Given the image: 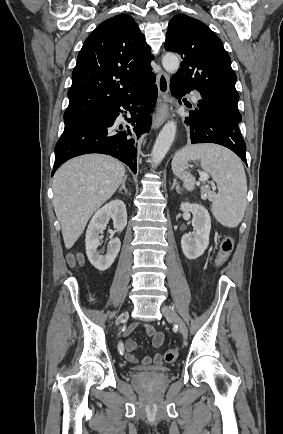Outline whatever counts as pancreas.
Instances as JSON below:
<instances>
[{
    "label": "pancreas",
    "instance_id": "pancreas-1",
    "mask_svg": "<svg viewBox=\"0 0 283 434\" xmlns=\"http://www.w3.org/2000/svg\"><path fill=\"white\" fill-rule=\"evenodd\" d=\"M201 193H202V199H211L213 192L210 190V188L208 187H202L201 188Z\"/></svg>",
    "mask_w": 283,
    "mask_h": 434
}]
</instances>
